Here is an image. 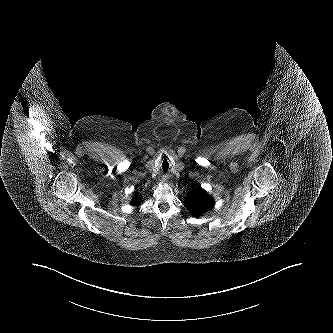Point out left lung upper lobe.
<instances>
[{
  "instance_id": "left-lung-upper-lobe-1",
  "label": "left lung upper lobe",
  "mask_w": 333,
  "mask_h": 333,
  "mask_svg": "<svg viewBox=\"0 0 333 333\" xmlns=\"http://www.w3.org/2000/svg\"><path fill=\"white\" fill-rule=\"evenodd\" d=\"M184 204L193 216H199L214 206V199L199 187L188 193Z\"/></svg>"
}]
</instances>
